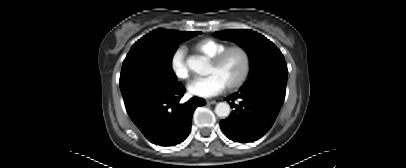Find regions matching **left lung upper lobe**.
Returning a JSON list of instances; mask_svg holds the SVG:
<instances>
[{"instance_id":"1","label":"left lung upper lobe","mask_w":406,"mask_h":168,"mask_svg":"<svg viewBox=\"0 0 406 168\" xmlns=\"http://www.w3.org/2000/svg\"><path fill=\"white\" fill-rule=\"evenodd\" d=\"M216 36L238 43L249 55L251 69L242 88L255 85L286 87L288 70L284 56L270 40L251 30H225L216 32Z\"/></svg>"}]
</instances>
